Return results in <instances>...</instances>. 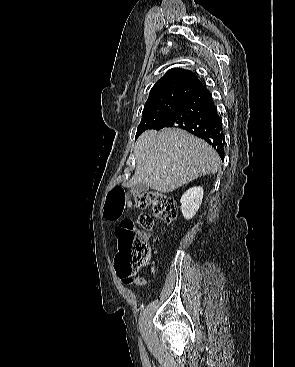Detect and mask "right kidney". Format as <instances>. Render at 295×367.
Listing matches in <instances>:
<instances>
[{
  "label": "right kidney",
  "instance_id": "right-kidney-1",
  "mask_svg": "<svg viewBox=\"0 0 295 367\" xmlns=\"http://www.w3.org/2000/svg\"><path fill=\"white\" fill-rule=\"evenodd\" d=\"M204 191L202 187H193L188 189L181 197V212L185 219L190 220L198 211Z\"/></svg>",
  "mask_w": 295,
  "mask_h": 367
}]
</instances>
